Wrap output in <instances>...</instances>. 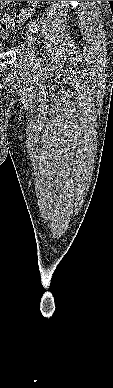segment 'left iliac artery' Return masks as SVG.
I'll return each instance as SVG.
<instances>
[{"instance_id":"44dca946","label":"left iliac artery","mask_w":113,"mask_h":388,"mask_svg":"<svg viewBox=\"0 0 113 388\" xmlns=\"http://www.w3.org/2000/svg\"><path fill=\"white\" fill-rule=\"evenodd\" d=\"M29 27H30V30L33 34L38 33L39 28H38V24L35 20L30 21Z\"/></svg>"}]
</instances>
